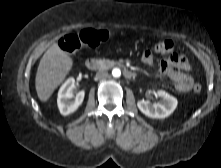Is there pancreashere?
<instances>
[{"label": "pancreas", "mask_w": 221, "mask_h": 168, "mask_svg": "<svg viewBox=\"0 0 221 168\" xmlns=\"http://www.w3.org/2000/svg\"><path fill=\"white\" fill-rule=\"evenodd\" d=\"M98 64L100 65L101 68H111L116 65V62L113 60H108V59H99Z\"/></svg>", "instance_id": "cf45deb5"}]
</instances>
